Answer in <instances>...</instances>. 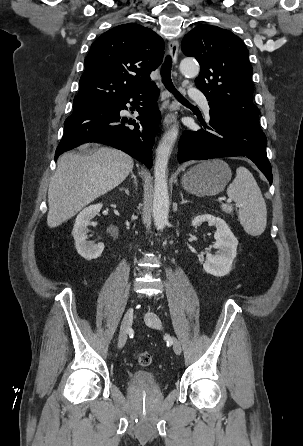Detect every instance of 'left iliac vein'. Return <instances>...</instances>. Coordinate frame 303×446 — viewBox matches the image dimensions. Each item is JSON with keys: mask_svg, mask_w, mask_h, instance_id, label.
<instances>
[{"mask_svg": "<svg viewBox=\"0 0 303 446\" xmlns=\"http://www.w3.org/2000/svg\"><path fill=\"white\" fill-rule=\"evenodd\" d=\"M145 323L152 328L161 329L162 323L160 318L153 312H147L144 316ZM172 345L175 354L180 355L182 352V347L178 339L172 337Z\"/></svg>", "mask_w": 303, "mask_h": 446, "instance_id": "1", "label": "left iliac vein"}]
</instances>
